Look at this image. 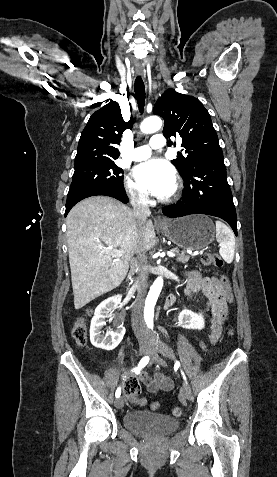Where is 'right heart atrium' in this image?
Returning a JSON list of instances; mask_svg holds the SVG:
<instances>
[{"label":"right heart atrium","instance_id":"right-heart-atrium-1","mask_svg":"<svg viewBox=\"0 0 277 477\" xmlns=\"http://www.w3.org/2000/svg\"><path fill=\"white\" fill-rule=\"evenodd\" d=\"M125 188L129 198L139 204H145L149 198L147 193L141 189L131 178H126Z\"/></svg>","mask_w":277,"mask_h":477}]
</instances>
